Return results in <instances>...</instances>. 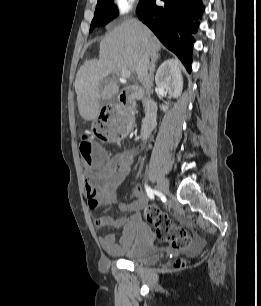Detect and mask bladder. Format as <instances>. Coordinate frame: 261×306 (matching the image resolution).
Masks as SVG:
<instances>
[{
    "mask_svg": "<svg viewBox=\"0 0 261 306\" xmlns=\"http://www.w3.org/2000/svg\"><path fill=\"white\" fill-rule=\"evenodd\" d=\"M124 259L138 265H154L160 259V252L149 241L144 240L133 252L125 255Z\"/></svg>",
    "mask_w": 261,
    "mask_h": 306,
    "instance_id": "1",
    "label": "bladder"
}]
</instances>
